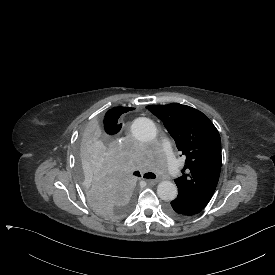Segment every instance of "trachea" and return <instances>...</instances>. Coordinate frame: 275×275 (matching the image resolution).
I'll return each mask as SVG.
<instances>
[{
  "instance_id": "1",
  "label": "trachea",
  "mask_w": 275,
  "mask_h": 275,
  "mask_svg": "<svg viewBox=\"0 0 275 275\" xmlns=\"http://www.w3.org/2000/svg\"><path fill=\"white\" fill-rule=\"evenodd\" d=\"M133 175H135V176H137V177H140V176H141L140 173H139V171H135V172L133 173ZM144 178H146V179H155V178H156V175H155L154 173H145V174H144Z\"/></svg>"
}]
</instances>
